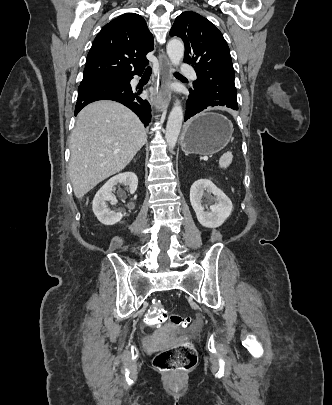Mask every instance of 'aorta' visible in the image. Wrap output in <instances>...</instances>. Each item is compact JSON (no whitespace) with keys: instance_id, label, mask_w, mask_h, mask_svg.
Listing matches in <instances>:
<instances>
[{"instance_id":"obj_1","label":"aorta","mask_w":332,"mask_h":405,"mask_svg":"<svg viewBox=\"0 0 332 405\" xmlns=\"http://www.w3.org/2000/svg\"><path fill=\"white\" fill-rule=\"evenodd\" d=\"M167 54L174 66H178L184 57V44L179 39H172L167 44ZM183 122V110L179 102L175 103L167 120L165 139L170 151L176 145Z\"/></svg>"}]
</instances>
